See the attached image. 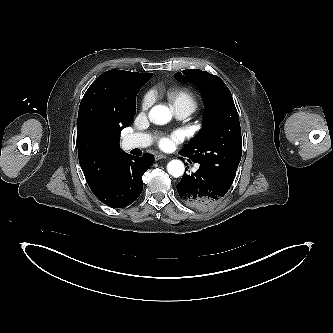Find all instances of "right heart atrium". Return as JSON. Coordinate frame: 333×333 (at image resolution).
Listing matches in <instances>:
<instances>
[{"label":"right heart atrium","instance_id":"obj_1","mask_svg":"<svg viewBox=\"0 0 333 333\" xmlns=\"http://www.w3.org/2000/svg\"><path fill=\"white\" fill-rule=\"evenodd\" d=\"M153 101V96L151 94H146L142 100V109L147 110Z\"/></svg>","mask_w":333,"mask_h":333}]
</instances>
